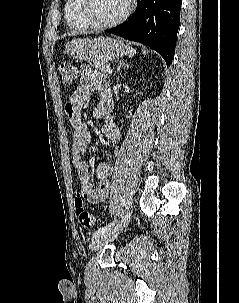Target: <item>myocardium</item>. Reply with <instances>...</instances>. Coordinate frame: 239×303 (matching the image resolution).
I'll return each mask as SVG.
<instances>
[{
	"label": "myocardium",
	"mask_w": 239,
	"mask_h": 303,
	"mask_svg": "<svg viewBox=\"0 0 239 303\" xmlns=\"http://www.w3.org/2000/svg\"><path fill=\"white\" fill-rule=\"evenodd\" d=\"M92 0H79V5L77 8L78 15L81 19V21L86 24L88 27L94 28V29H106L111 28L114 26H117L121 23H123L130 13L133 10V0L127 1V7L125 11L116 19L109 21V22H96L92 19V17L89 14V8L91 5Z\"/></svg>",
	"instance_id": "f54148a6"
}]
</instances>
